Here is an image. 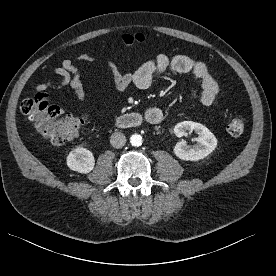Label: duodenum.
Wrapping results in <instances>:
<instances>
[{
  "mask_svg": "<svg viewBox=\"0 0 276 276\" xmlns=\"http://www.w3.org/2000/svg\"><path fill=\"white\" fill-rule=\"evenodd\" d=\"M144 122L154 124L149 118L135 112L122 114L117 118V124L122 128L138 127Z\"/></svg>",
  "mask_w": 276,
  "mask_h": 276,
  "instance_id": "duodenum-1",
  "label": "duodenum"
}]
</instances>
